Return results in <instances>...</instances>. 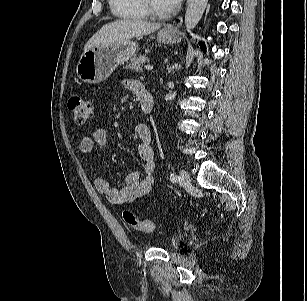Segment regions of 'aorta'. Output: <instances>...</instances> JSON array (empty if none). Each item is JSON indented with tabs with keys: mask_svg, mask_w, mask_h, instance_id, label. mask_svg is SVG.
<instances>
[{
	"mask_svg": "<svg viewBox=\"0 0 307 301\" xmlns=\"http://www.w3.org/2000/svg\"><path fill=\"white\" fill-rule=\"evenodd\" d=\"M208 0H188L184 24L188 31H191L199 23L206 9Z\"/></svg>",
	"mask_w": 307,
	"mask_h": 301,
	"instance_id": "1",
	"label": "aorta"
}]
</instances>
